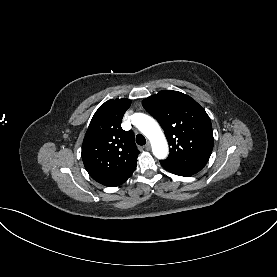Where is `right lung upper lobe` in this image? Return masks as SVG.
<instances>
[{
    "label": "right lung upper lobe",
    "mask_w": 277,
    "mask_h": 277,
    "mask_svg": "<svg viewBox=\"0 0 277 277\" xmlns=\"http://www.w3.org/2000/svg\"><path fill=\"white\" fill-rule=\"evenodd\" d=\"M129 99H111L95 112L82 144V160L89 175L104 186L123 184L134 172L140 153L132 131L121 121Z\"/></svg>",
    "instance_id": "obj_1"
}]
</instances>
